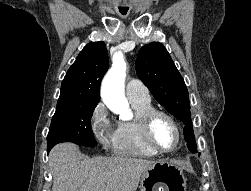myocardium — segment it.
I'll return each instance as SVG.
<instances>
[{"instance_id": "obj_1", "label": "myocardium", "mask_w": 251, "mask_h": 191, "mask_svg": "<svg viewBox=\"0 0 251 191\" xmlns=\"http://www.w3.org/2000/svg\"><path fill=\"white\" fill-rule=\"evenodd\" d=\"M158 116H164V117L168 118L172 122V124L174 125V127L179 135V142H178L177 146L175 147L174 150H172L170 152L161 151L156 146V144L152 138V126H153L154 120ZM141 127H142V134H143V138L145 140V143L157 155L164 156V155L174 154L177 151H179L184 144L185 137H184V133H183V130H182L180 124L178 123V121L176 120V118L172 114H170L169 112H166L164 110H159V109L153 108V109L145 112L144 114H142Z\"/></svg>"}]
</instances>
